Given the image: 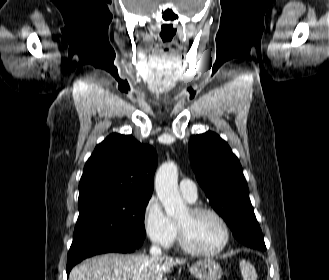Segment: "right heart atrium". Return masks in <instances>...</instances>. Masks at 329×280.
I'll list each match as a JSON object with an SVG mask.
<instances>
[{
  "label": "right heart atrium",
  "instance_id": "1",
  "mask_svg": "<svg viewBox=\"0 0 329 280\" xmlns=\"http://www.w3.org/2000/svg\"><path fill=\"white\" fill-rule=\"evenodd\" d=\"M142 223L146 236L156 246L168 249L174 244L177 227L165 214L156 197H151L147 201L143 209Z\"/></svg>",
  "mask_w": 329,
  "mask_h": 280
}]
</instances>
